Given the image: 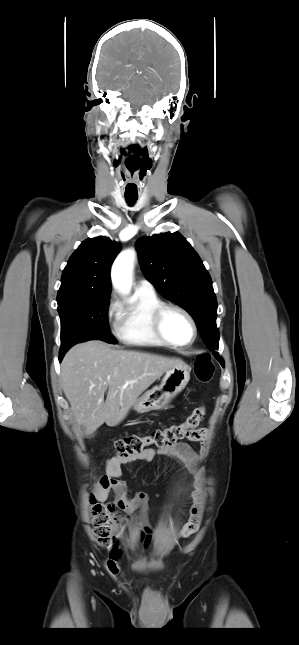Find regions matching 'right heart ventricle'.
I'll return each instance as SVG.
<instances>
[{"instance_id":"right-heart-ventricle-1","label":"right heart ventricle","mask_w":299,"mask_h":645,"mask_svg":"<svg viewBox=\"0 0 299 645\" xmlns=\"http://www.w3.org/2000/svg\"><path fill=\"white\" fill-rule=\"evenodd\" d=\"M162 304L156 293L135 291L131 301L120 308L116 321V334L127 345L159 347L165 344L156 336L152 315Z\"/></svg>"}]
</instances>
